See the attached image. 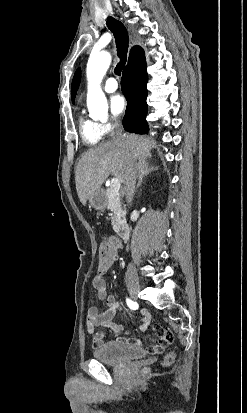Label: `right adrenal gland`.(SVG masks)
<instances>
[{
    "instance_id": "obj_1",
    "label": "right adrenal gland",
    "mask_w": 247,
    "mask_h": 413,
    "mask_svg": "<svg viewBox=\"0 0 247 413\" xmlns=\"http://www.w3.org/2000/svg\"><path fill=\"white\" fill-rule=\"evenodd\" d=\"M140 164H141V168H139V172H138V182L136 184V190L137 188H139V186H141L143 176H147V174H149L151 170H156L157 168V166H151V168H149L147 160H140Z\"/></svg>"
}]
</instances>
